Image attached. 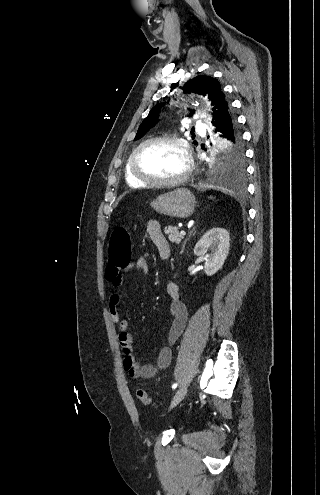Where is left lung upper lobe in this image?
Segmentation results:
<instances>
[{
	"mask_svg": "<svg viewBox=\"0 0 320 495\" xmlns=\"http://www.w3.org/2000/svg\"><path fill=\"white\" fill-rule=\"evenodd\" d=\"M184 93H197L212 102V124L226 110L230 109L221 85L217 79L208 75H198L190 79L183 86ZM160 105H156L148 116L140 124L135 140L142 138L145 133L157 122ZM191 114L193 110L190 109ZM190 114V115H191ZM194 144H197L195 141ZM214 169L231 175H240L245 170L244 149L241 140V133L236 125L233 135L218 141L215 153Z\"/></svg>",
	"mask_w": 320,
	"mask_h": 495,
	"instance_id": "1",
	"label": "left lung upper lobe"
}]
</instances>
